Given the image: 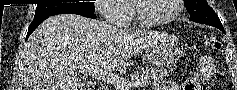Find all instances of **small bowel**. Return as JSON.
Returning a JSON list of instances; mask_svg holds the SVG:
<instances>
[{"instance_id":"small-bowel-1","label":"small bowel","mask_w":237,"mask_h":90,"mask_svg":"<svg viewBox=\"0 0 237 90\" xmlns=\"http://www.w3.org/2000/svg\"><path fill=\"white\" fill-rule=\"evenodd\" d=\"M215 71V67L210 62L202 63L196 73L185 80L161 81L154 90H201L202 83L209 79Z\"/></svg>"}]
</instances>
